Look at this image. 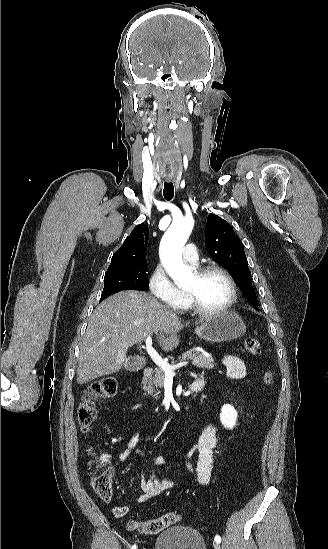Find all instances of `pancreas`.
I'll list each match as a JSON object with an SVG mask.
<instances>
[{
	"label": "pancreas",
	"mask_w": 328,
	"mask_h": 549,
	"mask_svg": "<svg viewBox=\"0 0 328 549\" xmlns=\"http://www.w3.org/2000/svg\"><path fill=\"white\" fill-rule=\"evenodd\" d=\"M180 363L182 361H192V365H195V367H201V369H214V359L213 357H205V355H202V353H199V351H192V353H186V355H182V357H178ZM172 363H177V361H172ZM164 371L163 369H154V377H145L143 379V391H147L148 395H152L154 399H158V391H156L157 387H163L164 385ZM155 393V395H153Z\"/></svg>",
	"instance_id": "obj_1"
}]
</instances>
